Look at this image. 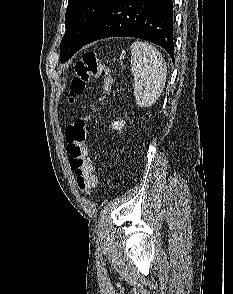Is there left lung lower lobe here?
Masks as SVG:
<instances>
[{"mask_svg":"<svg viewBox=\"0 0 233 294\" xmlns=\"http://www.w3.org/2000/svg\"><path fill=\"white\" fill-rule=\"evenodd\" d=\"M116 36L153 42L174 62L172 0H110L83 46Z\"/></svg>","mask_w":233,"mask_h":294,"instance_id":"0a47b994","label":"left lung lower lobe"}]
</instances>
